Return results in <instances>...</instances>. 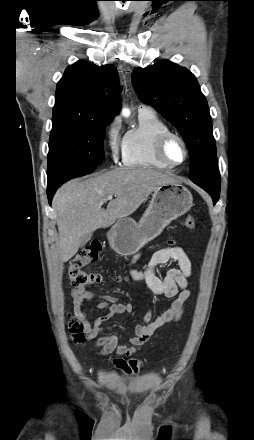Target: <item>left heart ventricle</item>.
Segmentation results:
<instances>
[{
	"label": "left heart ventricle",
	"instance_id": "left-heart-ventricle-1",
	"mask_svg": "<svg viewBox=\"0 0 254 440\" xmlns=\"http://www.w3.org/2000/svg\"><path fill=\"white\" fill-rule=\"evenodd\" d=\"M166 155L173 163H180L183 160L184 152L178 140L172 139L166 147Z\"/></svg>",
	"mask_w": 254,
	"mask_h": 440
}]
</instances>
